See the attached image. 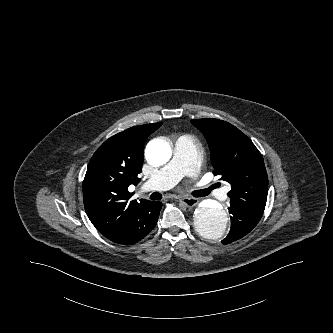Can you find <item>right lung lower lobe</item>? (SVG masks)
I'll return each mask as SVG.
<instances>
[{
	"label": "right lung lower lobe",
	"mask_w": 333,
	"mask_h": 333,
	"mask_svg": "<svg viewBox=\"0 0 333 333\" xmlns=\"http://www.w3.org/2000/svg\"><path fill=\"white\" fill-rule=\"evenodd\" d=\"M161 207V202L142 200L120 218L111 230L103 233V235L115 243L123 245L135 244L148 235L155 227Z\"/></svg>",
	"instance_id": "98d812e1"
}]
</instances>
